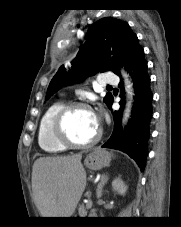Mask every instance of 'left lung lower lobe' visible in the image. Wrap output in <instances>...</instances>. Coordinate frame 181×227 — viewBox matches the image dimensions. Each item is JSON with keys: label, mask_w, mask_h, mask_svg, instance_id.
<instances>
[{"label": "left lung lower lobe", "mask_w": 181, "mask_h": 227, "mask_svg": "<svg viewBox=\"0 0 181 227\" xmlns=\"http://www.w3.org/2000/svg\"><path fill=\"white\" fill-rule=\"evenodd\" d=\"M125 67L130 72L135 89V101L131 119L126 128L122 130L120 125L124 105V93L122 90L121 108L119 111L113 113V133L102 147L118 149L127 153L137 162L141 170H143L150 136L153 97L150 89V77L147 73V62L144 58V50L139 43L132 49L126 60ZM120 87L123 88L122 81ZM112 103L113 100L108 105L110 109Z\"/></svg>", "instance_id": "obj_1"}]
</instances>
